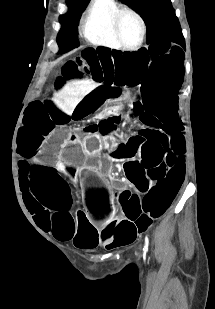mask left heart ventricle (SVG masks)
Segmentation results:
<instances>
[{"label":"left heart ventricle","mask_w":215,"mask_h":309,"mask_svg":"<svg viewBox=\"0 0 215 309\" xmlns=\"http://www.w3.org/2000/svg\"><path fill=\"white\" fill-rule=\"evenodd\" d=\"M118 33L120 41H125V46L133 45L137 42L139 35L136 21L128 15H123Z\"/></svg>","instance_id":"left-heart-ventricle-1"}]
</instances>
